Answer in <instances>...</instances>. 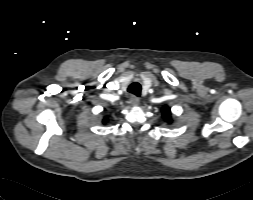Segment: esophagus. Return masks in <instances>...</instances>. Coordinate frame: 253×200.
<instances>
[{
	"mask_svg": "<svg viewBox=\"0 0 253 200\" xmlns=\"http://www.w3.org/2000/svg\"><path fill=\"white\" fill-rule=\"evenodd\" d=\"M139 102H140V99L139 97L135 96V95H132L130 97V103L134 106H138L139 105Z\"/></svg>",
	"mask_w": 253,
	"mask_h": 200,
	"instance_id": "esophagus-1",
	"label": "esophagus"
}]
</instances>
